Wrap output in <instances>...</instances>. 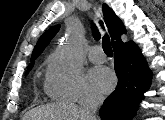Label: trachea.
I'll use <instances>...</instances> for the list:
<instances>
[{"mask_svg": "<svg viewBox=\"0 0 165 120\" xmlns=\"http://www.w3.org/2000/svg\"><path fill=\"white\" fill-rule=\"evenodd\" d=\"M100 25L103 27L102 21H100ZM102 48H103L105 54H112L113 53L112 48H111V44H110V38L108 35H105L103 37Z\"/></svg>", "mask_w": 165, "mask_h": 120, "instance_id": "trachea-1", "label": "trachea"}]
</instances>
